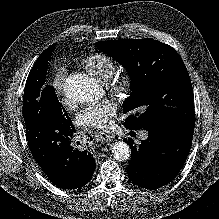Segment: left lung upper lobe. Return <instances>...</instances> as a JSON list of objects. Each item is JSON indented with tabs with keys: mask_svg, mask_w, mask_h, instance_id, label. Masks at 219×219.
Listing matches in <instances>:
<instances>
[{
	"mask_svg": "<svg viewBox=\"0 0 219 219\" xmlns=\"http://www.w3.org/2000/svg\"><path fill=\"white\" fill-rule=\"evenodd\" d=\"M96 47L127 68L130 96L123 113L131 129L164 132L194 125L191 80L180 55L171 46L148 39L99 41Z\"/></svg>",
	"mask_w": 219,
	"mask_h": 219,
	"instance_id": "obj_1",
	"label": "left lung upper lobe"
}]
</instances>
